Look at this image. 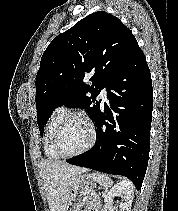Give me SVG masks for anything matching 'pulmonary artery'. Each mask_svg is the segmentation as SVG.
<instances>
[{
	"instance_id": "pulmonary-artery-1",
	"label": "pulmonary artery",
	"mask_w": 178,
	"mask_h": 211,
	"mask_svg": "<svg viewBox=\"0 0 178 211\" xmlns=\"http://www.w3.org/2000/svg\"><path fill=\"white\" fill-rule=\"evenodd\" d=\"M99 98L102 99V101L104 102H108V94H107L106 88H103L101 90V93L99 94Z\"/></svg>"
}]
</instances>
